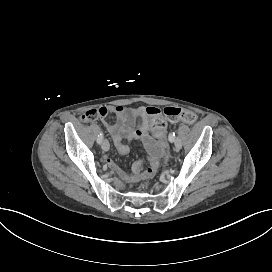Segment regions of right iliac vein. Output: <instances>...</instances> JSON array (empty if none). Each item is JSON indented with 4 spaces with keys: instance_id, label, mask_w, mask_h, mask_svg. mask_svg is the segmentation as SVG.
I'll return each mask as SVG.
<instances>
[{
    "instance_id": "63e3f726",
    "label": "right iliac vein",
    "mask_w": 272,
    "mask_h": 272,
    "mask_svg": "<svg viewBox=\"0 0 272 272\" xmlns=\"http://www.w3.org/2000/svg\"><path fill=\"white\" fill-rule=\"evenodd\" d=\"M101 148L103 149V151H108L110 148L109 142L107 139H103L101 142Z\"/></svg>"
}]
</instances>
